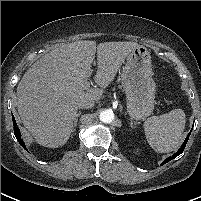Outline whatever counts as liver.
Listing matches in <instances>:
<instances>
[{
	"instance_id": "liver-1",
	"label": "liver",
	"mask_w": 201,
	"mask_h": 201,
	"mask_svg": "<svg viewBox=\"0 0 201 201\" xmlns=\"http://www.w3.org/2000/svg\"><path fill=\"white\" fill-rule=\"evenodd\" d=\"M138 46L135 42L96 45L95 41H76L36 61L18 84L16 102L23 124L35 140L46 147L64 145L73 131L79 101L100 100L129 53ZM96 51L94 81L100 88H86Z\"/></svg>"
}]
</instances>
